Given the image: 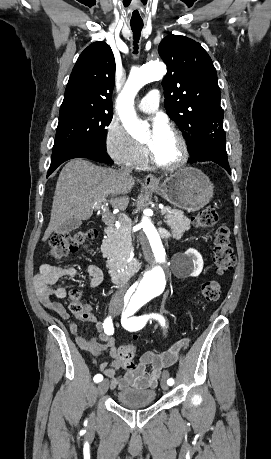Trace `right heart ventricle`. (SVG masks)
<instances>
[{
    "instance_id": "obj_1",
    "label": "right heart ventricle",
    "mask_w": 271,
    "mask_h": 459,
    "mask_svg": "<svg viewBox=\"0 0 271 459\" xmlns=\"http://www.w3.org/2000/svg\"><path fill=\"white\" fill-rule=\"evenodd\" d=\"M137 166H139V167L144 166V161H142L141 163H139Z\"/></svg>"
}]
</instances>
